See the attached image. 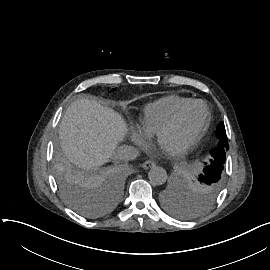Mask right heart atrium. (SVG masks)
Instances as JSON below:
<instances>
[{
    "label": "right heart atrium",
    "instance_id": "obj_1",
    "mask_svg": "<svg viewBox=\"0 0 270 270\" xmlns=\"http://www.w3.org/2000/svg\"><path fill=\"white\" fill-rule=\"evenodd\" d=\"M129 138H131L138 147V151L144 148L152 139L151 134L138 131L134 132Z\"/></svg>",
    "mask_w": 270,
    "mask_h": 270
}]
</instances>
